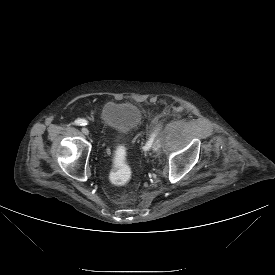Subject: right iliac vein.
I'll return each mask as SVG.
<instances>
[{
  "label": "right iliac vein",
  "instance_id": "1",
  "mask_svg": "<svg viewBox=\"0 0 275 275\" xmlns=\"http://www.w3.org/2000/svg\"><path fill=\"white\" fill-rule=\"evenodd\" d=\"M82 133L85 134V135H89V130L86 128V127H83L81 129Z\"/></svg>",
  "mask_w": 275,
  "mask_h": 275
}]
</instances>
